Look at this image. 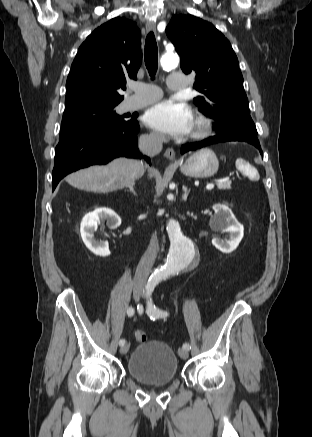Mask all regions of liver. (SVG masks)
<instances>
[{"instance_id":"1","label":"liver","mask_w":312,"mask_h":437,"mask_svg":"<svg viewBox=\"0 0 312 437\" xmlns=\"http://www.w3.org/2000/svg\"><path fill=\"white\" fill-rule=\"evenodd\" d=\"M144 174L141 161L116 158L104 166H90L66 177L73 187L94 193H108L130 187Z\"/></svg>"}]
</instances>
